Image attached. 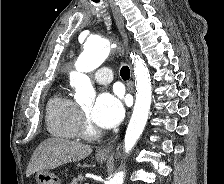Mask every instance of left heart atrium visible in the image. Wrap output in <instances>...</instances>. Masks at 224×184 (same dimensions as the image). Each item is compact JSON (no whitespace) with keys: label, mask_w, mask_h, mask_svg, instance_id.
Listing matches in <instances>:
<instances>
[{"label":"left heart atrium","mask_w":224,"mask_h":184,"mask_svg":"<svg viewBox=\"0 0 224 184\" xmlns=\"http://www.w3.org/2000/svg\"><path fill=\"white\" fill-rule=\"evenodd\" d=\"M123 116L124 107L121 98L109 92L100 94L90 111L92 122L105 129L117 126Z\"/></svg>","instance_id":"39dd6f15"}]
</instances>
